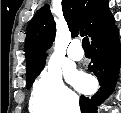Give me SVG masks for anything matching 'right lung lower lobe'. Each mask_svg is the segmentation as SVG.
<instances>
[{"label": "right lung lower lobe", "instance_id": "1", "mask_svg": "<svg viewBox=\"0 0 121 113\" xmlns=\"http://www.w3.org/2000/svg\"><path fill=\"white\" fill-rule=\"evenodd\" d=\"M118 30L115 25L91 41L93 57L89 70L99 80V91L91 96L80 97L81 113H97L101 104L113 91L121 63Z\"/></svg>", "mask_w": 121, "mask_h": 113}]
</instances>
